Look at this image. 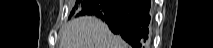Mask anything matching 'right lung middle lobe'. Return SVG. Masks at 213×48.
Listing matches in <instances>:
<instances>
[{
	"mask_svg": "<svg viewBox=\"0 0 213 48\" xmlns=\"http://www.w3.org/2000/svg\"><path fill=\"white\" fill-rule=\"evenodd\" d=\"M88 0H77L75 3V6L73 8V10L70 13L69 18H71V16L73 14H77V16H79V12L81 11V8L83 7V5L87 2Z\"/></svg>",
	"mask_w": 213,
	"mask_h": 48,
	"instance_id": "1",
	"label": "right lung middle lobe"
}]
</instances>
